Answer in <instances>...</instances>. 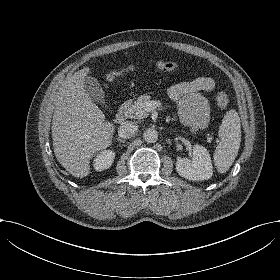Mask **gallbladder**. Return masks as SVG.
I'll return each instance as SVG.
<instances>
[{"label": "gallbladder", "instance_id": "obj_1", "mask_svg": "<svg viewBox=\"0 0 280 280\" xmlns=\"http://www.w3.org/2000/svg\"><path fill=\"white\" fill-rule=\"evenodd\" d=\"M83 86L87 96L91 100L100 101L103 97L100 85L94 78L86 76L83 79Z\"/></svg>", "mask_w": 280, "mask_h": 280}]
</instances>
